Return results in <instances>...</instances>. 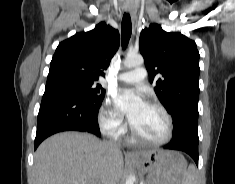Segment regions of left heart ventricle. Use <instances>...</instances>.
I'll return each mask as SVG.
<instances>
[{
	"mask_svg": "<svg viewBox=\"0 0 235 184\" xmlns=\"http://www.w3.org/2000/svg\"><path fill=\"white\" fill-rule=\"evenodd\" d=\"M133 128L144 138L159 140L166 135L168 125L160 110L148 106Z\"/></svg>",
	"mask_w": 235,
	"mask_h": 184,
	"instance_id": "1",
	"label": "left heart ventricle"
}]
</instances>
